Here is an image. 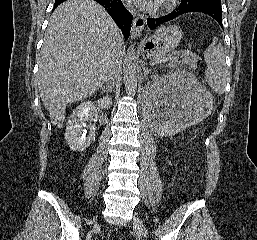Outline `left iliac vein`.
<instances>
[{"label":"left iliac vein","mask_w":257,"mask_h":240,"mask_svg":"<svg viewBox=\"0 0 257 240\" xmlns=\"http://www.w3.org/2000/svg\"><path fill=\"white\" fill-rule=\"evenodd\" d=\"M133 225H134V228L138 231V233L141 236H143V237L147 236V230H146L143 222L139 218L135 217L133 219Z\"/></svg>","instance_id":"left-iliac-vein-1"}]
</instances>
